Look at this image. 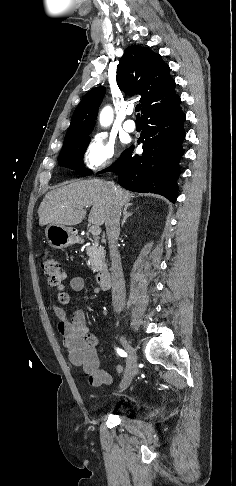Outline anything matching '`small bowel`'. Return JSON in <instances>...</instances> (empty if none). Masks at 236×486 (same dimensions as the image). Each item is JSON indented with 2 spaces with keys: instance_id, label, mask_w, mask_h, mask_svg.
Here are the masks:
<instances>
[{
  "instance_id": "1",
  "label": "small bowel",
  "mask_w": 236,
  "mask_h": 486,
  "mask_svg": "<svg viewBox=\"0 0 236 486\" xmlns=\"http://www.w3.org/2000/svg\"><path fill=\"white\" fill-rule=\"evenodd\" d=\"M69 287L73 291H83L85 300L90 299L91 294L86 291L83 278L72 277L69 280ZM51 308L57 318V329L62 336L63 346L68 352L70 362L83 369L92 386L111 383V375L100 368L97 351L99 339L88 326L85 311L77 309L69 318L62 308L56 305H52ZM123 369L121 364L114 365L116 373H122Z\"/></svg>"
}]
</instances>
